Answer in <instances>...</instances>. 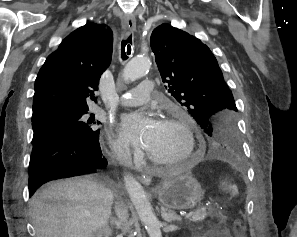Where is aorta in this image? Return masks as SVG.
Returning a JSON list of instances; mask_svg holds the SVG:
<instances>
[{
	"label": "aorta",
	"mask_w": 297,
	"mask_h": 237,
	"mask_svg": "<svg viewBox=\"0 0 297 237\" xmlns=\"http://www.w3.org/2000/svg\"><path fill=\"white\" fill-rule=\"evenodd\" d=\"M147 57L131 59L122 71V78L126 83L134 82L146 75L150 69ZM125 188L133 203L141 222L145 225L149 237H162L160 222L157 219L146 193L141 184L131 175L124 177Z\"/></svg>",
	"instance_id": "obj_1"
}]
</instances>
